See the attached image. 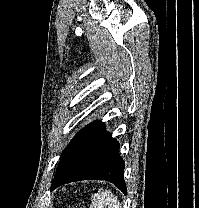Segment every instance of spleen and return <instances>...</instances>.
Returning <instances> with one entry per match:
<instances>
[{
  "instance_id": "obj_1",
  "label": "spleen",
  "mask_w": 199,
  "mask_h": 208,
  "mask_svg": "<svg viewBox=\"0 0 199 208\" xmlns=\"http://www.w3.org/2000/svg\"><path fill=\"white\" fill-rule=\"evenodd\" d=\"M90 208H121V203L111 191H102L92 196Z\"/></svg>"
}]
</instances>
